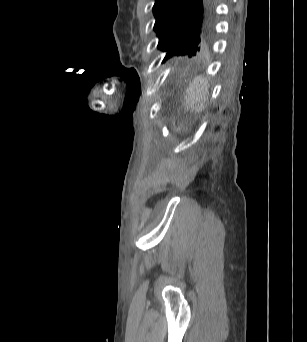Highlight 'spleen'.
Instances as JSON below:
<instances>
[{
    "instance_id": "obj_1",
    "label": "spleen",
    "mask_w": 307,
    "mask_h": 342,
    "mask_svg": "<svg viewBox=\"0 0 307 342\" xmlns=\"http://www.w3.org/2000/svg\"><path fill=\"white\" fill-rule=\"evenodd\" d=\"M208 94V80L203 76H196L189 84V88L186 92V104L185 109L189 114H201L202 106L207 100Z\"/></svg>"
}]
</instances>
